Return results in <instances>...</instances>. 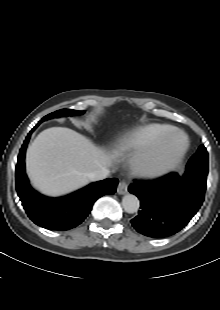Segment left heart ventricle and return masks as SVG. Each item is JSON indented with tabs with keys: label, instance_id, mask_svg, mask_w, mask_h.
<instances>
[{
	"label": "left heart ventricle",
	"instance_id": "obj_1",
	"mask_svg": "<svg viewBox=\"0 0 220 310\" xmlns=\"http://www.w3.org/2000/svg\"><path fill=\"white\" fill-rule=\"evenodd\" d=\"M178 147V140L174 139L172 140L165 148V150L163 151L160 160L161 161H166L169 160L174 153L176 152Z\"/></svg>",
	"mask_w": 220,
	"mask_h": 310
}]
</instances>
